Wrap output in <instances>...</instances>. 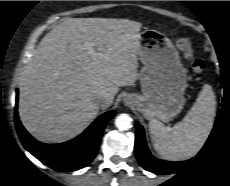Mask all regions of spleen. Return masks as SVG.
<instances>
[{
	"label": "spleen",
	"mask_w": 230,
	"mask_h": 186,
	"mask_svg": "<svg viewBox=\"0 0 230 186\" xmlns=\"http://www.w3.org/2000/svg\"><path fill=\"white\" fill-rule=\"evenodd\" d=\"M215 113V94L212 87L205 84L187 115L173 127L150 120L149 130L154 149L161 157L172 161L195 156L212 130Z\"/></svg>",
	"instance_id": "spleen-1"
}]
</instances>
